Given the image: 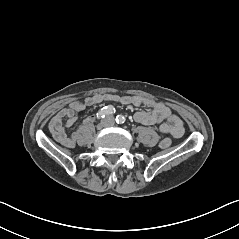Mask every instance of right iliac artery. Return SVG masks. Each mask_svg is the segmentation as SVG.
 <instances>
[{
	"label": "right iliac artery",
	"instance_id": "82829eb1",
	"mask_svg": "<svg viewBox=\"0 0 239 239\" xmlns=\"http://www.w3.org/2000/svg\"><path fill=\"white\" fill-rule=\"evenodd\" d=\"M115 113V108L111 105L103 107L99 112H97L96 117L102 119L105 116L112 115Z\"/></svg>",
	"mask_w": 239,
	"mask_h": 239
}]
</instances>
